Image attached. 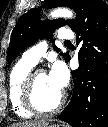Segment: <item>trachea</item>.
<instances>
[{"label":"trachea","mask_w":108,"mask_h":127,"mask_svg":"<svg viewBox=\"0 0 108 127\" xmlns=\"http://www.w3.org/2000/svg\"><path fill=\"white\" fill-rule=\"evenodd\" d=\"M71 42L70 41H65V44H70Z\"/></svg>","instance_id":"obj_1"}]
</instances>
